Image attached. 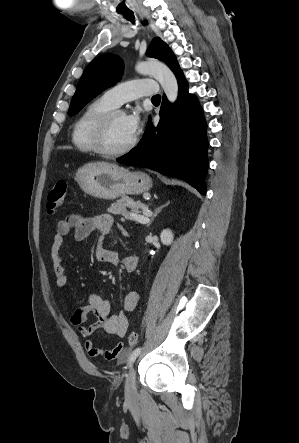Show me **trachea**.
<instances>
[{
    "instance_id": "obj_1",
    "label": "trachea",
    "mask_w": 299,
    "mask_h": 443,
    "mask_svg": "<svg viewBox=\"0 0 299 443\" xmlns=\"http://www.w3.org/2000/svg\"><path fill=\"white\" fill-rule=\"evenodd\" d=\"M124 15H125L127 20H129L132 23H135L133 14L125 13ZM160 101H161V96L160 95H155V96L152 97V102H160Z\"/></svg>"
}]
</instances>
